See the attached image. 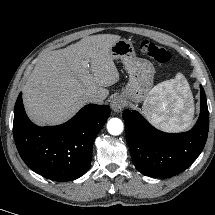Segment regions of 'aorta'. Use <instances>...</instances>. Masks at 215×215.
<instances>
[{"label":"aorta","mask_w":215,"mask_h":215,"mask_svg":"<svg viewBox=\"0 0 215 215\" xmlns=\"http://www.w3.org/2000/svg\"><path fill=\"white\" fill-rule=\"evenodd\" d=\"M123 127V122L119 118H112L107 123V129L111 135L121 134Z\"/></svg>","instance_id":"762f6f07"}]
</instances>
